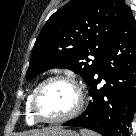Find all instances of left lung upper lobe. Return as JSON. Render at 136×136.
Returning a JSON list of instances; mask_svg holds the SVG:
<instances>
[{
  "label": "left lung upper lobe",
  "instance_id": "obj_1",
  "mask_svg": "<svg viewBox=\"0 0 136 136\" xmlns=\"http://www.w3.org/2000/svg\"><path fill=\"white\" fill-rule=\"evenodd\" d=\"M129 9L123 0H71L51 15L40 31L27 79L51 68H68L88 85Z\"/></svg>",
  "mask_w": 136,
  "mask_h": 136
}]
</instances>
